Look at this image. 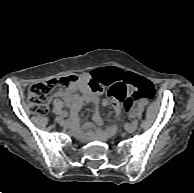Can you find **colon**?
<instances>
[{
  "label": "colon",
  "mask_w": 194,
  "mask_h": 193,
  "mask_svg": "<svg viewBox=\"0 0 194 193\" xmlns=\"http://www.w3.org/2000/svg\"><path fill=\"white\" fill-rule=\"evenodd\" d=\"M78 78L75 75L54 78L46 82H36L32 84L28 92V103L31 109L43 114L47 111L51 93L57 89L69 90L76 86ZM102 85L108 87V95L113 103L123 104L129 108L132 104V98L135 94H129L127 85H138L145 87L147 82L137 78L133 74H125L121 79H113L104 84L91 83L93 93H98L102 90Z\"/></svg>",
  "instance_id": "obj_1"
}]
</instances>
